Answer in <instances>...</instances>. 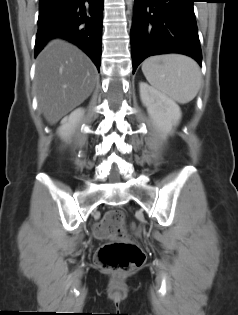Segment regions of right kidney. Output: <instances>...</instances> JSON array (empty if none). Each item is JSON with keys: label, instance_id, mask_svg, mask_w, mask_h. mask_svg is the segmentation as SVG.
<instances>
[{"label": "right kidney", "instance_id": "ca27d5eb", "mask_svg": "<svg viewBox=\"0 0 238 315\" xmlns=\"http://www.w3.org/2000/svg\"><path fill=\"white\" fill-rule=\"evenodd\" d=\"M84 114L82 108L74 110L69 116H66L61 121V126L58 129L59 136L61 138H66L69 136L71 131L76 127L77 123L80 121Z\"/></svg>", "mask_w": 238, "mask_h": 315}]
</instances>
